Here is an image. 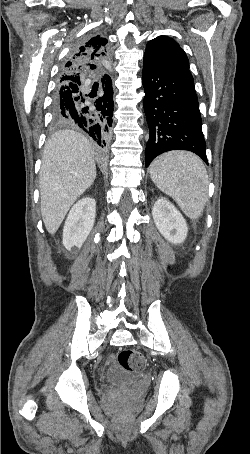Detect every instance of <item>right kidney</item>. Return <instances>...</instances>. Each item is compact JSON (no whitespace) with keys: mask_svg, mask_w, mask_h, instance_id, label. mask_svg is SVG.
<instances>
[{"mask_svg":"<svg viewBox=\"0 0 250 454\" xmlns=\"http://www.w3.org/2000/svg\"><path fill=\"white\" fill-rule=\"evenodd\" d=\"M96 216V202L93 198L80 199L71 208L63 228V245L67 250L81 248L90 234Z\"/></svg>","mask_w":250,"mask_h":454,"instance_id":"ca27d5eb","label":"right kidney"}]
</instances>
